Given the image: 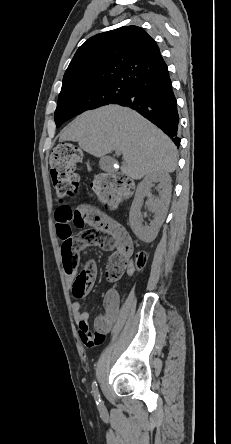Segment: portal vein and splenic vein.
Here are the masks:
<instances>
[{"mask_svg": "<svg viewBox=\"0 0 231 444\" xmlns=\"http://www.w3.org/2000/svg\"><path fill=\"white\" fill-rule=\"evenodd\" d=\"M116 154H117V155H120L121 153H119V152H116Z\"/></svg>", "mask_w": 231, "mask_h": 444, "instance_id": "1", "label": "portal vein and splenic vein"}]
</instances>
